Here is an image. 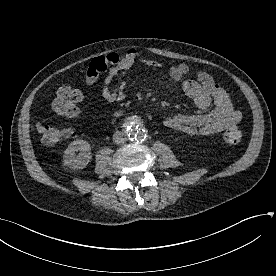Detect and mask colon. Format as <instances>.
I'll list each match as a JSON object with an SVG mask.
<instances>
[{
	"label": "colon",
	"mask_w": 276,
	"mask_h": 276,
	"mask_svg": "<svg viewBox=\"0 0 276 276\" xmlns=\"http://www.w3.org/2000/svg\"><path fill=\"white\" fill-rule=\"evenodd\" d=\"M82 95L79 90L70 86H62L58 89L52 103L53 110L63 117H75L79 113V103ZM37 130L42 141L47 145L60 142L68 134L66 130H60L48 124L39 123ZM225 142L229 145H238L242 141V132L237 126H230L223 134Z\"/></svg>",
	"instance_id": "1"
}]
</instances>
